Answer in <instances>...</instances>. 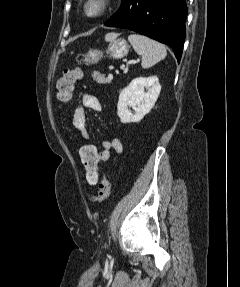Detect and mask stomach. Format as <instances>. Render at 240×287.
I'll list each match as a JSON object with an SVG mask.
<instances>
[{"label":"stomach","mask_w":240,"mask_h":287,"mask_svg":"<svg viewBox=\"0 0 240 287\" xmlns=\"http://www.w3.org/2000/svg\"><path fill=\"white\" fill-rule=\"evenodd\" d=\"M105 41L108 42V47L102 50H89L84 56L82 61L86 65L98 63L103 57L109 56L113 59H121L128 54L129 45L124 38H120L116 33H109L105 36ZM105 53V54H104Z\"/></svg>","instance_id":"1"}]
</instances>
